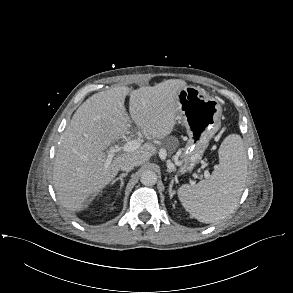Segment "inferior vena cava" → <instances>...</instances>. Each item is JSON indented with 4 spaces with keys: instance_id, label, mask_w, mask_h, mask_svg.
Returning a JSON list of instances; mask_svg holds the SVG:
<instances>
[{
    "instance_id": "obj_1",
    "label": "inferior vena cava",
    "mask_w": 293,
    "mask_h": 293,
    "mask_svg": "<svg viewBox=\"0 0 293 293\" xmlns=\"http://www.w3.org/2000/svg\"><path fill=\"white\" fill-rule=\"evenodd\" d=\"M134 167H135V162H134L132 159L127 158V159H125V160L122 162V164H121V166H120V169H121L122 171L129 172V171H131Z\"/></svg>"
}]
</instances>
